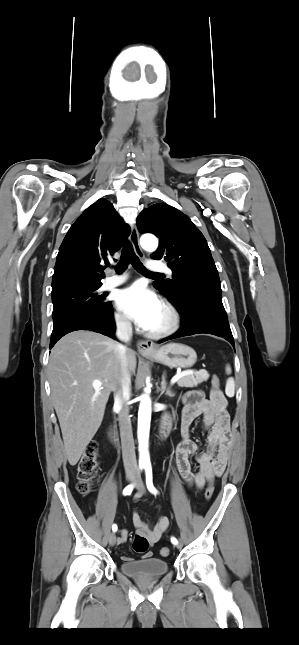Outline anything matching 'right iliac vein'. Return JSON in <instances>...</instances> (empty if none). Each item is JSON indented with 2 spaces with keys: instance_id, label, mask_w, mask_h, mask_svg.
Instances as JSON below:
<instances>
[{
  "instance_id": "right-iliac-vein-1",
  "label": "right iliac vein",
  "mask_w": 299,
  "mask_h": 645,
  "mask_svg": "<svg viewBox=\"0 0 299 645\" xmlns=\"http://www.w3.org/2000/svg\"><path fill=\"white\" fill-rule=\"evenodd\" d=\"M134 478H135L134 474H132V473L127 474V479H128L129 481H133V480H134ZM116 540H117L116 534H115V533H111V534H110V536H109V544H110L111 546H114V545L116 544Z\"/></svg>"
}]
</instances>
